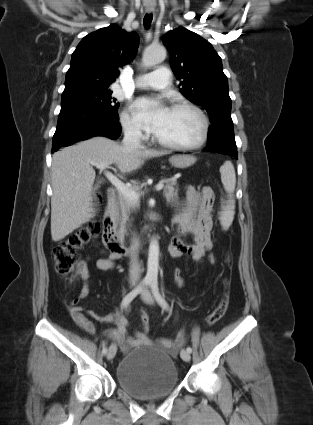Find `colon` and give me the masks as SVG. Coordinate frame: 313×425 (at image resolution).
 <instances>
[{"instance_id":"obj_1","label":"colon","mask_w":313,"mask_h":425,"mask_svg":"<svg viewBox=\"0 0 313 425\" xmlns=\"http://www.w3.org/2000/svg\"><path fill=\"white\" fill-rule=\"evenodd\" d=\"M99 223L91 221L87 225L77 229L61 240L52 251L56 271L63 276H72L82 274L84 264L79 258V251L89 243L99 233ZM208 261L214 264L216 257L214 254L208 255ZM174 283L178 289L185 287L186 278L181 270L174 273ZM227 287V284H225ZM229 305V294L225 292L218 306L206 317L209 325L218 322L226 313ZM149 329V318L144 316L142 319L141 335L145 337Z\"/></svg>"}]
</instances>
